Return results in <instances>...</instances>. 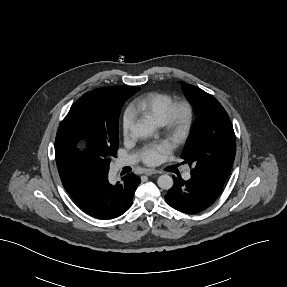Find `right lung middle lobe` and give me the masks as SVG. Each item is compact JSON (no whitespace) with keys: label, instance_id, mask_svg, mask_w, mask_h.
Listing matches in <instances>:
<instances>
[{"label":"right lung middle lobe","instance_id":"1","mask_svg":"<svg viewBox=\"0 0 287 287\" xmlns=\"http://www.w3.org/2000/svg\"><path fill=\"white\" fill-rule=\"evenodd\" d=\"M139 90L135 87L120 95L100 88L84 94L58 128L55 139L57 164L71 158L85 167L86 174H107L110 161L117 154L121 108ZM80 141L84 143L81 149L77 148Z\"/></svg>","mask_w":287,"mask_h":287}]
</instances>
